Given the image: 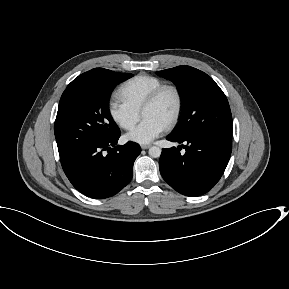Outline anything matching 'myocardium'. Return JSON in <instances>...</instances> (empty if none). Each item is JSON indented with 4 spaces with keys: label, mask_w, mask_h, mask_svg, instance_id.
<instances>
[{
    "label": "myocardium",
    "mask_w": 289,
    "mask_h": 289,
    "mask_svg": "<svg viewBox=\"0 0 289 289\" xmlns=\"http://www.w3.org/2000/svg\"><path fill=\"white\" fill-rule=\"evenodd\" d=\"M166 91H172L176 98V106L174 113L170 118V120L168 121V123L166 124V128L171 129L178 123L183 110V95L176 85L163 84L158 88H156L144 101L141 107V114L144 112V110L154 105L162 96V94Z\"/></svg>",
    "instance_id": "myocardium-1"
}]
</instances>
